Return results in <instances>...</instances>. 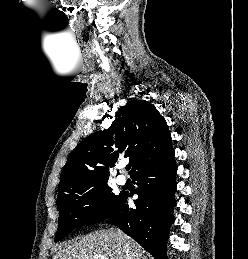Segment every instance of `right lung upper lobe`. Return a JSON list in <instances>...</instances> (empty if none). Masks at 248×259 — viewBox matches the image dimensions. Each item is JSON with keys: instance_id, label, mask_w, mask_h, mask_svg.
<instances>
[{"instance_id": "obj_1", "label": "right lung upper lobe", "mask_w": 248, "mask_h": 259, "mask_svg": "<svg viewBox=\"0 0 248 259\" xmlns=\"http://www.w3.org/2000/svg\"><path fill=\"white\" fill-rule=\"evenodd\" d=\"M165 119L145 100H133L118 109L110 128L98 131L70 153L58 187V197L81 187L106 182L110 168L129 157L132 176L141 167L173 152Z\"/></svg>"}]
</instances>
